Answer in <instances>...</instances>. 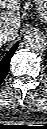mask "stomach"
<instances>
[{"label":"stomach","instance_id":"obj_1","mask_svg":"<svg viewBox=\"0 0 47 129\" xmlns=\"http://www.w3.org/2000/svg\"><path fill=\"white\" fill-rule=\"evenodd\" d=\"M43 22H47V0H33Z\"/></svg>","mask_w":47,"mask_h":129}]
</instances>
